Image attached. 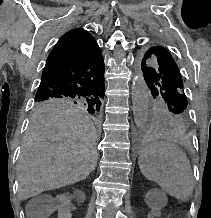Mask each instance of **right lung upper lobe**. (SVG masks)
<instances>
[{"mask_svg": "<svg viewBox=\"0 0 211 218\" xmlns=\"http://www.w3.org/2000/svg\"><path fill=\"white\" fill-rule=\"evenodd\" d=\"M101 54L95 39L83 29L64 34L50 52L43 72L80 59Z\"/></svg>", "mask_w": 211, "mask_h": 218, "instance_id": "cb5924a9", "label": "right lung upper lobe"}]
</instances>
